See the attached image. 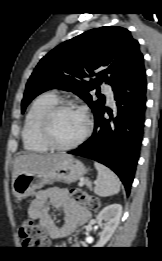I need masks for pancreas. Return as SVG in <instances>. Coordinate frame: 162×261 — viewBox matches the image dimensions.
I'll list each match as a JSON object with an SVG mask.
<instances>
[{
    "label": "pancreas",
    "mask_w": 162,
    "mask_h": 261,
    "mask_svg": "<svg viewBox=\"0 0 162 261\" xmlns=\"http://www.w3.org/2000/svg\"><path fill=\"white\" fill-rule=\"evenodd\" d=\"M84 184L91 188V184H90V182L88 180H85Z\"/></svg>",
    "instance_id": "obj_1"
}]
</instances>
